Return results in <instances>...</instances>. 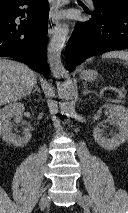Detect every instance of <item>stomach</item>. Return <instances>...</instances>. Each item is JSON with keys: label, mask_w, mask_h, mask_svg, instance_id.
<instances>
[{"label": "stomach", "mask_w": 128, "mask_h": 213, "mask_svg": "<svg viewBox=\"0 0 128 213\" xmlns=\"http://www.w3.org/2000/svg\"><path fill=\"white\" fill-rule=\"evenodd\" d=\"M97 76H98V73L95 70H85V71H82L80 74V77L86 81L94 80Z\"/></svg>", "instance_id": "1"}]
</instances>
